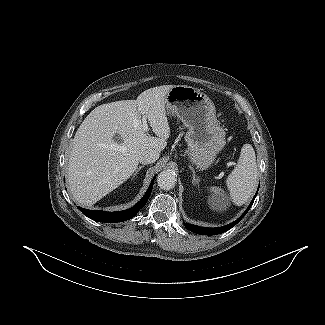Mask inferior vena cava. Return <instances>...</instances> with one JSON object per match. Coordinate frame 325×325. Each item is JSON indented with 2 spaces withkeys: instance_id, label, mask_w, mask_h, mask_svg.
Returning a JSON list of instances; mask_svg holds the SVG:
<instances>
[{
  "instance_id": "1",
  "label": "inferior vena cava",
  "mask_w": 325,
  "mask_h": 325,
  "mask_svg": "<svg viewBox=\"0 0 325 325\" xmlns=\"http://www.w3.org/2000/svg\"><path fill=\"white\" fill-rule=\"evenodd\" d=\"M159 158V153L154 150H146L143 153H141L139 157V162L142 164H151L156 162V160Z\"/></svg>"
}]
</instances>
